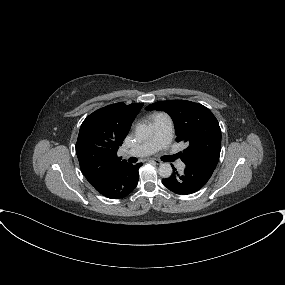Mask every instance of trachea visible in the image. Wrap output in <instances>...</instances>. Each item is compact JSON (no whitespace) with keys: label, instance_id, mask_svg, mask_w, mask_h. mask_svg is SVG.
Returning a JSON list of instances; mask_svg holds the SVG:
<instances>
[{"label":"trachea","instance_id":"obj_1","mask_svg":"<svg viewBox=\"0 0 285 285\" xmlns=\"http://www.w3.org/2000/svg\"><path fill=\"white\" fill-rule=\"evenodd\" d=\"M129 162H130V163H135V162H137V158H135V157H130V158H129Z\"/></svg>","mask_w":285,"mask_h":285}]
</instances>
